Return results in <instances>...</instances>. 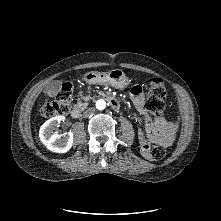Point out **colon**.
I'll list each match as a JSON object with an SVG mask.
<instances>
[{
  "mask_svg": "<svg viewBox=\"0 0 221 221\" xmlns=\"http://www.w3.org/2000/svg\"><path fill=\"white\" fill-rule=\"evenodd\" d=\"M166 87L160 78H154L150 81L147 91V109L156 115L163 112L165 107ZM72 102V88L65 85L57 94L55 100L44 105L41 108L43 117H53L57 115L67 114L70 110ZM166 144L158 143L149 150V157L154 160L162 159L166 154Z\"/></svg>",
  "mask_w": 221,
  "mask_h": 221,
  "instance_id": "obj_1",
  "label": "colon"
}]
</instances>
